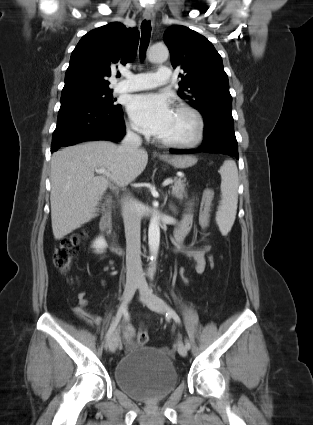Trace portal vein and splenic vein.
<instances>
[{
  "label": "portal vein and splenic vein",
  "instance_id": "1",
  "mask_svg": "<svg viewBox=\"0 0 313 425\" xmlns=\"http://www.w3.org/2000/svg\"><path fill=\"white\" fill-rule=\"evenodd\" d=\"M96 172L101 173V174H104V175H106L108 177L110 176V173L105 168H99V169L96 170ZM171 183H172V180L171 179H166L163 182V186H167V185H169Z\"/></svg>",
  "mask_w": 313,
  "mask_h": 425
}]
</instances>
